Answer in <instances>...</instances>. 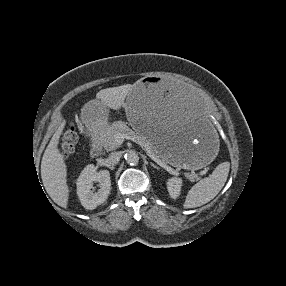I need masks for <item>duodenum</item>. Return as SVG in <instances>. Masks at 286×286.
<instances>
[{
    "mask_svg": "<svg viewBox=\"0 0 286 286\" xmlns=\"http://www.w3.org/2000/svg\"><path fill=\"white\" fill-rule=\"evenodd\" d=\"M91 140H92V146H91V149H90V156L92 158H97V157H99L101 155V152H102L99 135L98 134H93L91 136Z\"/></svg>",
    "mask_w": 286,
    "mask_h": 286,
    "instance_id": "1",
    "label": "duodenum"
}]
</instances>
